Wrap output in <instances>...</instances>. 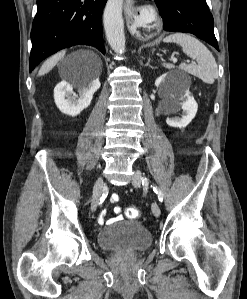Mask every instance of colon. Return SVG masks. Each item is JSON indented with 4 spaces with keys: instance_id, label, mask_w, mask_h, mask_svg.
I'll list each match as a JSON object with an SVG mask.
<instances>
[{
    "instance_id": "1",
    "label": "colon",
    "mask_w": 247,
    "mask_h": 299,
    "mask_svg": "<svg viewBox=\"0 0 247 299\" xmlns=\"http://www.w3.org/2000/svg\"><path fill=\"white\" fill-rule=\"evenodd\" d=\"M125 215H126L128 218L134 219V218L139 217L140 212H139V210H138L137 208H134V207H128V208L125 210Z\"/></svg>"
}]
</instances>
